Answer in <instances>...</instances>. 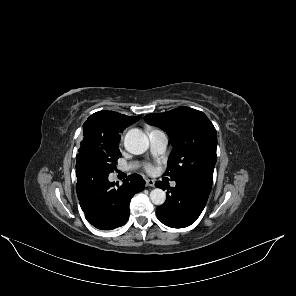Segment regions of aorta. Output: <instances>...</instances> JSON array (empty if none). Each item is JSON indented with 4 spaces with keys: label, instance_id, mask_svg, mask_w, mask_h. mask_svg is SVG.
<instances>
[{
    "label": "aorta",
    "instance_id": "aorta-1",
    "mask_svg": "<svg viewBox=\"0 0 296 296\" xmlns=\"http://www.w3.org/2000/svg\"><path fill=\"white\" fill-rule=\"evenodd\" d=\"M125 149L134 155L144 153L149 147V140L146 134L139 129L129 130L124 138ZM150 199L155 205H162L166 200L165 192L155 188L150 192Z\"/></svg>",
    "mask_w": 296,
    "mask_h": 296
}]
</instances>
